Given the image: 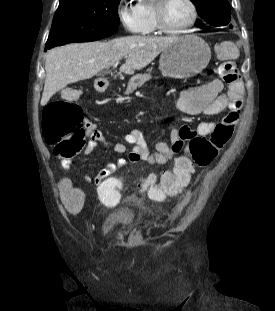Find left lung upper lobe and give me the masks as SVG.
I'll return each instance as SVG.
<instances>
[{"instance_id":"5c2ea615","label":"left lung upper lobe","mask_w":275,"mask_h":311,"mask_svg":"<svg viewBox=\"0 0 275 311\" xmlns=\"http://www.w3.org/2000/svg\"><path fill=\"white\" fill-rule=\"evenodd\" d=\"M196 6L198 15L206 25L223 26L230 22V5L228 0H191ZM205 24H199L204 28ZM230 28L233 26L230 24Z\"/></svg>"}]
</instances>
